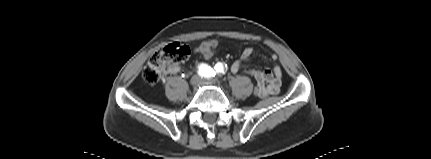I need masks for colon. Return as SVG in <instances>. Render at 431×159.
<instances>
[{
  "mask_svg": "<svg viewBox=\"0 0 431 159\" xmlns=\"http://www.w3.org/2000/svg\"><path fill=\"white\" fill-rule=\"evenodd\" d=\"M197 53L213 56L216 50L215 48L202 46L197 48ZM217 54H220V51H217ZM189 55L190 49L188 46L180 43L169 44L152 55L142 73V77L147 83L155 84L172 66L186 61ZM260 92V87L257 85L251 86L252 98H259Z\"/></svg>",
  "mask_w": 431,
  "mask_h": 159,
  "instance_id": "5ec220e1",
  "label": "colon"
}]
</instances>
